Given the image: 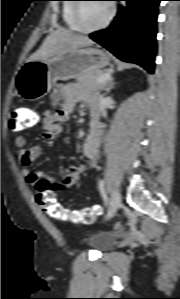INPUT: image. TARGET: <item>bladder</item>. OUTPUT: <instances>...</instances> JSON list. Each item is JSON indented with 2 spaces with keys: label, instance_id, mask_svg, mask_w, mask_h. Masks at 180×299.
I'll return each mask as SVG.
<instances>
[{
  "label": "bladder",
  "instance_id": "31cf9c89",
  "mask_svg": "<svg viewBox=\"0 0 180 299\" xmlns=\"http://www.w3.org/2000/svg\"><path fill=\"white\" fill-rule=\"evenodd\" d=\"M83 241L86 246L104 252L115 245L116 239L110 232L89 229L85 232Z\"/></svg>",
  "mask_w": 180,
  "mask_h": 299
}]
</instances>
